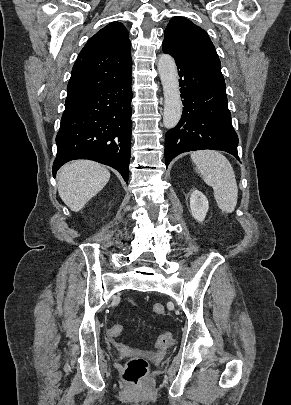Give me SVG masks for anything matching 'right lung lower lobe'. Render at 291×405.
Listing matches in <instances>:
<instances>
[{
  "mask_svg": "<svg viewBox=\"0 0 291 405\" xmlns=\"http://www.w3.org/2000/svg\"><path fill=\"white\" fill-rule=\"evenodd\" d=\"M131 74L83 95L69 105L56 136L53 176L66 162L90 159L109 165L128 183L131 145Z\"/></svg>",
  "mask_w": 291,
  "mask_h": 405,
  "instance_id": "1",
  "label": "right lung lower lobe"
}]
</instances>
